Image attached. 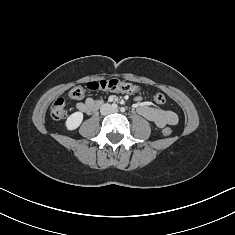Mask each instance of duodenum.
<instances>
[{"label": "duodenum", "instance_id": "1", "mask_svg": "<svg viewBox=\"0 0 235 235\" xmlns=\"http://www.w3.org/2000/svg\"><path fill=\"white\" fill-rule=\"evenodd\" d=\"M100 104H95L94 106H92L89 110H88V114H92L94 113L98 108H99Z\"/></svg>", "mask_w": 235, "mask_h": 235}]
</instances>
